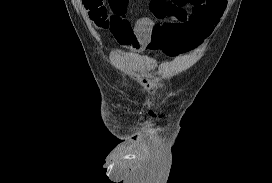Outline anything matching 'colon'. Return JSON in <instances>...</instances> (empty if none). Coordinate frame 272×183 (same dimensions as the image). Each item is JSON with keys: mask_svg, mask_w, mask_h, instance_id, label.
Returning <instances> with one entry per match:
<instances>
[{"mask_svg": "<svg viewBox=\"0 0 272 183\" xmlns=\"http://www.w3.org/2000/svg\"><path fill=\"white\" fill-rule=\"evenodd\" d=\"M82 2L90 18L99 28L112 30L125 19V0H83Z\"/></svg>", "mask_w": 272, "mask_h": 183, "instance_id": "5ec220e1", "label": "colon"}]
</instances>
